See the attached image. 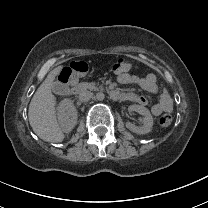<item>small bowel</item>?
<instances>
[{"label":"small bowel","mask_w":208,"mask_h":208,"mask_svg":"<svg viewBox=\"0 0 208 208\" xmlns=\"http://www.w3.org/2000/svg\"><path fill=\"white\" fill-rule=\"evenodd\" d=\"M118 82L123 85H137L143 90L153 94L159 92L160 99L156 104L152 106V113L155 116H158L162 113L171 112L173 108L171 96L165 86L158 84L157 78L154 75L149 74L145 77H142L138 75L124 73L118 76ZM127 97L129 100L135 101L140 105L145 106L148 104V100L145 96H138L136 94L130 93L127 94Z\"/></svg>","instance_id":"small-bowel-1"}]
</instances>
